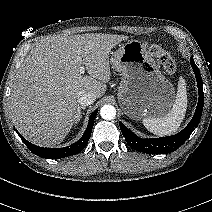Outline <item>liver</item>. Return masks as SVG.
Returning <instances> with one entry per match:
<instances>
[{"label": "liver", "mask_w": 212, "mask_h": 212, "mask_svg": "<svg viewBox=\"0 0 212 212\" xmlns=\"http://www.w3.org/2000/svg\"><path fill=\"white\" fill-rule=\"evenodd\" d=\"M125 39L92 33L54 35L38 43L18 69L11 92L10 111L20 134L39 146L61 143L75 122L77 95L103 96L111 78L109 54ZM81 66L89 75L80 73Z\"/></svg>", "instance_id": "6515ba94"}]
</instances>
